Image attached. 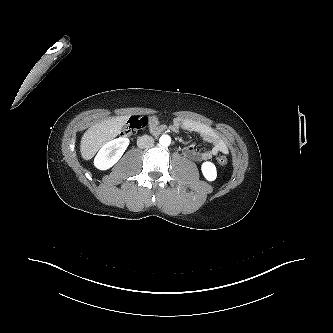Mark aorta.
<instances>
[{
    "label": "aorta",
    "mask_w": 333,
    "mask_h": 333,
    "mask_svg": "<svg viewBox=\"0 0 333 333\" xmlns=\"http://www.w3.org/2000/svg\"><path fill=\"white\" fill-rule=\"evenodd\" d=\"M160 145L164 147H168L171 143V138L169 135H162L159 139Z\"/></svg>",
    "instance_id": "762f6f07"
}]
</instances>
